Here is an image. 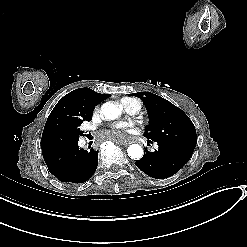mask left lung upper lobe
Masks as SVG:
<instances>
[{
	"mask_svg": "<svg viewBox=\"0 0 247 247\" xmlns=\"http://www.w3.org/2000/svg\"><path fill=\"white\" fill-rule=\"evenodd\" d=\"M131 95L142 99L147 109L149 125L144 136L148 142L154 141L194 150L197 143L196 129L184 111L151 92Z\"/></svg>",
	"mask_w": 247,
	"mask_h": 247,
	"instance_id": "5c2ea615",
	"label": "left lung upper lobe"
}]
</instances>
